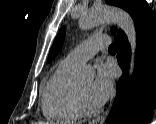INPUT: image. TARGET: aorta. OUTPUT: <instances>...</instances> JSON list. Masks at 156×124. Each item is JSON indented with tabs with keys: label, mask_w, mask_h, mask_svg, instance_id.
Masks as SVG:
<instances>
[{
	"label": "aorta",
	"mask_w": 156,
	"mask_h": 124,
	"mask_svg": "<svg viewBox=\"0 0 156 124\" xmlns=\"http://www.w3.org/2000/svg\"><path fill=\"white\" fill-rule=\"evenodd\" d=\"M105 22H112L116 24L127 36L130 44L131 56L129 65L128 81L132 76L135 65V52H136V29L135 24L131 16L124 10L117 8H96L89 10L80 19V27L82 29H89ZM93 70L88 66H83L77 72L82 77H88L92 75Z\"/></svg>",
	"instance_id": "aorta-1"
}]
</instances>
